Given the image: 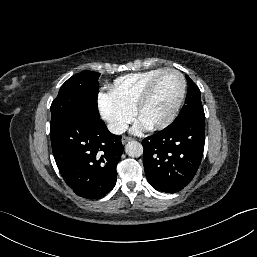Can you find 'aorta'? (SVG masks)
Returning a JSON list of instances; mask_svg holds the SVG:
<instances>
[{
    "instance_id": "obj_1",
    "label": "aorta",
    "mask_w": 257,
    "mask_h": 257,
    "mask_svg": "<svg viewBox=\"0 0 257 257\" xmlns=\"http://www.w3.org/2000/svg\"><path fill=\"white\" fill-rule=\"evenodd\" d=\"M125 151L130 157H140L143 154V146L137 141H130L126 144Z\"/></svg>"
}]
</instances>
